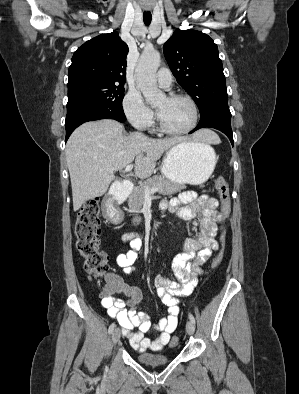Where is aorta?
<instances>
[{
  "label": "aorta",
  "mask_w": 299,
  "mask_h": 394,
  "mask_svg": "<svg viewBox=\"0 0 299 394\" xmlns=\"http://www.w3.org/2000/svg\"><path fill=\"white\" fill-rule=\"evenodd\" d=\"M160 61L158 51L144 52L135 70L137 86L149 103H154L163 96L156 81V72Z\"/></svg>",
  "instance_id": "aorta-1"
}]
</instances>
